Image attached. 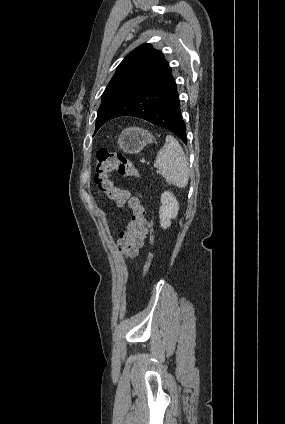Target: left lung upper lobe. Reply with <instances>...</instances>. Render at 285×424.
<instances>
[{
	"instance_id": "5c2ea615",
	"label": "left lung upper lobe",
	"mask_w": 285,
	"mask_h": 424,
	"mask_svg": "<svg viewBox=\"0 0 285 424\" xmlns=\"http://www.w3.org/2000/svg\"><path fill=\"white\" fill-rule=\"evenodd\" d=\"M167 65L162 52L150 44H143L129 53L117 67L102 95L95 133L118 105L154 81Z\"/></svg>"
}]
</instances>
